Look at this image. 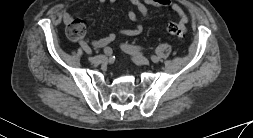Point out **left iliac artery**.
Masks as SVG:
<instances>
[{
  "label": "left iliac artery",
  "mask_w": 253,
  "mask_h": 138,
  "mask_svg": "<svg viewBox=\"0 0 253 138\" xmlns=\"http://www.w3.org/2000/svg\"><path fill=\"white\" fill-rule=\"evenodd\" d=\"M124 48H128L130 51H137V50H140V47L131 46V45H124ZM151 60H152L154 63H157V62L159 61L158 57L155 56V55H152V56H151Z\"/></svg>",
  "instance_id": "obj_1"
}]
</instances>
